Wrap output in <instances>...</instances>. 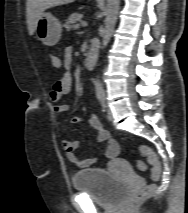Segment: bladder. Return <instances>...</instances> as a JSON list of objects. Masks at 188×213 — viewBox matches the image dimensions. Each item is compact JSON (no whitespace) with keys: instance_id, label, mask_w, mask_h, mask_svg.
Instances as JSON below:
<instances>
[{"instance_id":"1","label":"bladder","mask_w":188,"mask_h":213,"mask_svg":"<svg viewBox=\"0 0 188 213\" xmlns=\"http://www.w3.org/2000/svg\"><path fill=\"white\" fill-rule=\"evenodd\" d=\"M72 184L75 190L87 194L96 204L105 207L114 206L128 190L125 181L115 179L103 168L75 172Z\"/></svg>"}]
</instances>
